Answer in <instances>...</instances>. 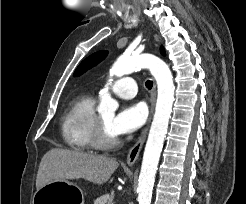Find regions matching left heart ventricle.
<instances>
[{"label": "left heart ventricle", "instance_id": "b2bd125f", "mask_svg": "<svg viewBox=\"0 0 246 204\" xmlns=\"http://www.w3.org/2000/svg\"><path fill=\"white\" fill-rule=\"evenodd\" d=\"M103 123H104V126L106 128V131L108 133L109 136H116L113 131H112V128H111V123H112V120L114 118L113 114L111 113H106V114H101L100 115Z\"/></svg>", "mask_w": 246, "mask_h": 204}]
</instances>
